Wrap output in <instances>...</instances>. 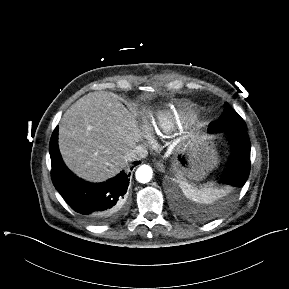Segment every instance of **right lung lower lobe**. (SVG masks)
Masks as SVG:
<instances>
[{
  "instance_id": "obj_1",
  "label": "right lung lower lobe",
  "mask_w": 289,
  "mask_h": 289,
  "mask_svg": "<svg viewBox=\"0 0 289 289\" xmlns=\"http://www.w3.org/2000/svg\"><path fill=\"white\" fill-rule=\"evenodd\" d=\"M57 139L58 127L54 130L49 145L51 177L55 188L64 200L92 224L110 223L120 218L126 207L130 174L122 171L115 178L104 183L85 182L65 166ZM139 163L140 161L134 162V165Z\"/></svg>"
}]
</instances>
